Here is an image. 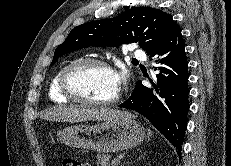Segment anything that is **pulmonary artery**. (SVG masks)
Here are the masks:
<instances>
[{
  "mask_svg": "<svg viewBox=\"0 0 231 166\" xmlns=\"http://www.w3.org/2000/svg\"><path fill=\"white\" fill-rule=\"evenodd\" d=\"M131 51H132V55L134 57L139 58V59H145V54L141 50H139L135 47H132Z\"/></svg>",
  "mask_w": 231,
  "mask_h": 166,
  "instance_id": "obj_1",
  "label": "pulmonary artery"
}]
</instances>
